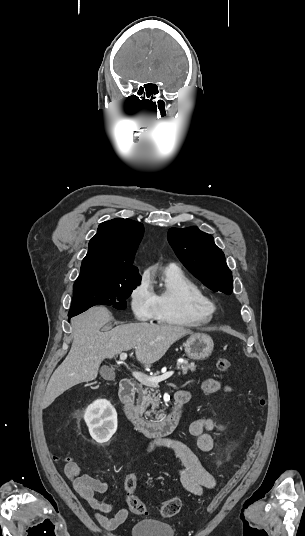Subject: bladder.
Wrapping results in <instances>:
<instances>
[{
  "mask_svg": "<svg viewBox=\"0 0 305 536\" xmlns=\"http://www.w3.org/2000/svg\"><path fill=\"white\" fill-rule=\"evenodd\" d=\"M157 533L164 536H175L171 522L162 521L155 517L143 518L131 527V536H152Z\"/></svg>",
  "mask_w": 305,
  "mask_h": 536,
  "instance_id": "obj_1",
  "label": "bladder"
}]
</instances>
